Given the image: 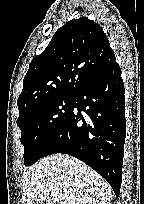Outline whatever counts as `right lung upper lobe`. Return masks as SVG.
<instances>
[{
  "label": "right lung upper lobe",
  "instance_id": "1",
  "mask_svg": "<svg viewBox=\"0 0 144 204\" xmlns=\"http://www.w3.org/2000/svg\"><path fill=\"white\" fill-rule=\"evenodd\" d=\"M114 62L100 25L86 17L67 22L31 61L17 100L19 115L52 98L75 96Z\"/></svg>",
  "mask_w": 144,
  "mask_h": 204
}]
</instances>
